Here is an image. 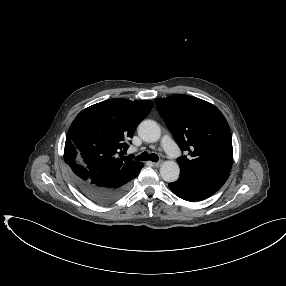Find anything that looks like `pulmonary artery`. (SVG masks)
Instances as JSON below:
<instances>
[{
  "label": "pulmonary artery",
  "instance_id": "pulmonary-artery-1",
  "mask_svg": "<svg viewBox=\"0 0 286 286\" xmlns=\"http://www.w3.org/2000/svg\"><path fill=\"white\" fill-rule=\"evenodd\" d=\"M161 145L170 158L176 159L179 156L180 154L179 148L173 142L170 136L165 135L161 140Z\"/></svg>",
  "mask_w": 286,
  "mask_h": 286
}]
</instances>
